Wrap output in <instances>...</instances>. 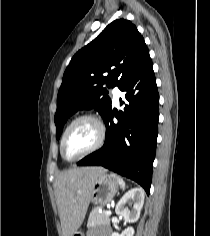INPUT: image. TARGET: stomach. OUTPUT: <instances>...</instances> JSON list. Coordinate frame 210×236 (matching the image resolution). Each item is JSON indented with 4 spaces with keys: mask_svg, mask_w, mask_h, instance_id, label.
Masks as SVG:
<instances>
[{
    "mask_svg": "<svg viewBox=\"0 0 210 236\" xmlns=\"http://www.w3.org/2000/svg\"><path fill=\"white\" fill-rule=\"evenodd\" d=\"M119 183L116 177L102 174L93 183L90 201L96 205L104 206L109 203L118 191ZM73 236H84L83 232L77 231Z\"/></svg>",
    "mask_w": 210,
    "mask_h": 236,
    "instance_id": "0dacf381",
    "label": "stomach"
}]
</instances>
